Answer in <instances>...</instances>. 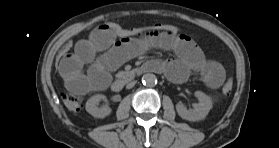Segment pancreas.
<instances>
[{
  "mask_svg": "<svg viewBox=\"0 0 279 148\" xmlns=\"http://www.w3.org/2000/svg\"><path fill=\"white\" fill-rule=\"evenodd\" d=\"M118 78L128 79L134 76L131 71H121L116 75Z\"/></svg>",
  "mask_w": 279,
  "mask_h": 148,
  "instance_id": "cf45deb5",
  "label": "pancreas"
}]
</instances>
